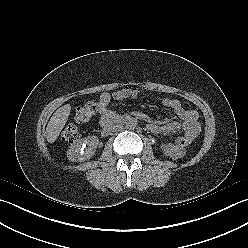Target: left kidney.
<instances>
[{
    "label": "left kidney",
    "mask_w": 248,
    "mask_h": 248,
    "mask_svg": "<svg viewBox=\"0 0 248 248\" xmlns=\"http://www.w3.org/2000/svg\"><path fill=\"white\" fill-rule=\"evenodd\" d=\"M161 149L166 156H169L174 160L183 157L186 153L183 148L177 147L172 143L163 144Z\"/></svg>",
    "instance_id": "left-kidney-1"
}]
</instances>
